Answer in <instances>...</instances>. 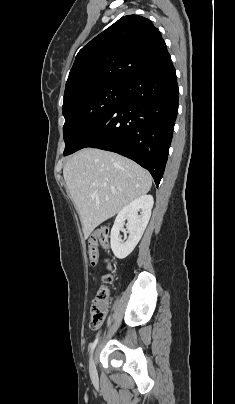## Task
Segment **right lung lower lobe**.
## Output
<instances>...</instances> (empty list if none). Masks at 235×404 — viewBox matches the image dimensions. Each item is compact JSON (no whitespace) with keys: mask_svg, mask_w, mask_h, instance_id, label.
<instances>
[{"mask_svg":"<svg viewBox=\"0 0 235 404\" xmlns=\"http://www.w3.org/2000/svg\"><path fill=\"white\" fill-rule=\"evenodd\" d=\"M178 99L176 71L169 56L127 80L120 102L85 134L72 153L85 147L118 153L147 169L158 187L168 158Z\"/></svg>","mask_w":235,"mask_h":404,"instance_id":"98d812e1","label":"right lung lower lobe"}]
</instances>
